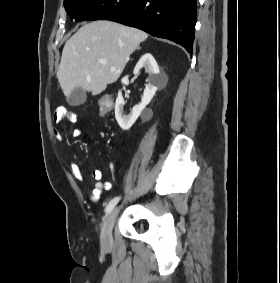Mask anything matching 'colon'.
Masks as SVG:
<instances>
[{
	"instance_id": "colon-1",
	"label": "colon",
	"mask_w": 280,
	"mask_h": 283,
	"mask_svg": "<svg viewBox=\"0 0 280 283\" xmlns=\"http://www.w3.org/2000/svg\"><path fill=\"white\" fill-rule=\"evenodd\" d=\"M111 104L112 99L109 97H104L100 100L98 112H102V114H98V119H107V112H112V107H109Z\"/></svg>"
}]
</instances>
